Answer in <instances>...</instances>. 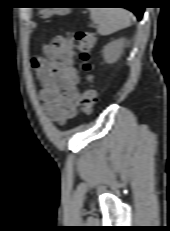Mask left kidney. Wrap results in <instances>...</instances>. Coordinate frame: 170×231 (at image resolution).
I'll use <instances>...</instances> for the list:
<instances>
[{"mask_svg": "<svg viewBox=\"0 0 170 231\" xmlns=\"http://www.w3.org/2000/svg\"><path fill=\"white\" fill-rule=\"evenodd\" d=\"M126 39L121 38L108 43L103 49V58L106 63L111 64L117 61L122 54Z\"/></svg>", "mask_w": 170, "mask_h": 231, "instance_id": "5707ae66", "label": "left kidney"}]
</instances>
